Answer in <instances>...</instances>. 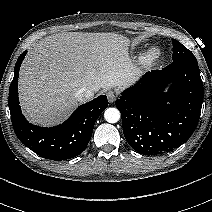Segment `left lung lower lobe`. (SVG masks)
I'll return each instance as SVG.
<instances>
[{"label": "left lung lower lobe", "mask_w": 212, "mask_h": 212, "mask_svg": "<svg viewBox=\"0 0 212 212\" xmlns=\"http://www.w3.org/2000/svg\"><path fill=\"white\" fill-rule=\"evenodd\" d=\"M172 82L167 93V82ZM203 102L197 62L171 63L146 73L115 104L123 133L140 154L158 155L185 142L196 129Z\"/></svg>", "instance_id": "1"}]
</instances>
